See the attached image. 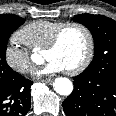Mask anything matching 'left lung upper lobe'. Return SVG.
<instances>
[{
	"mask_svg": "<svg viewBox=\"0 0 116 116\" xmlns=\"http://www.w3.org/2000/svg\"><path fill=\"white\" fill-rule=\"evenodd\" d=\"M73 20L86 26L94 39V57L83 73L116 71V21L94 14L75 15Z\"/></svg>",
	"mask_w": 116,
	"mask_h": 116,
	"instance_id": "1",
	"label": "left lung upper lobe"
}]
</instances>
